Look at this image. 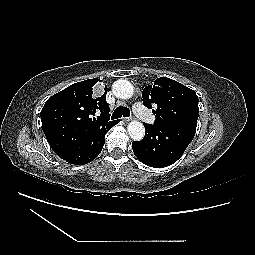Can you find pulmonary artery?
<instances>
[{"label": "pulmonary artery", "mask_w": 255, "mask_h": 255, "mask_svg": "<svg viewBox=\"0 0 255 255\" xmlns=\"http://www.w3.org/2000/svg\"><path fill=\"white\" fill-rule=\"evenodd\" d=\"M133 112L136 116H138L140 119L148 122L153 123L154 122V116L149 113L139 102H135L132 106Z\"/></svg>", "instance_id": "pulmonary-artery-1"}]
</instances>
